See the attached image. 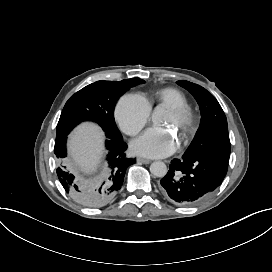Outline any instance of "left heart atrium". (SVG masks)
I'll return each mask as SVG.
<instances>
[{
  "mask_svg": "<svg viewBox=\"0 0 272 272\" xmlns=\"http://www.w3.org/2000/svg\"><path fill=\"white\" fill-rule=\"evenodd\" d=\"M177 145L171 130L154 127L147 130L133 148L144 155L165 157L173 153Z\"/></svg>",
  "mask_w": 272,
  "mask_h": 272,
  "instance_id": "1",
  "label": "left heart atrium"
}]
</instances>
